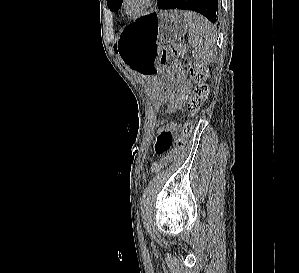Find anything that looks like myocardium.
<instances>
[{"instance_id": "f54148a6", "label": "myocardium", "mask_w": 299, "mask_h": 273, "mask_svg": "<svg viewBox=\"0 0 299 273\" xmlns=\"http://www.w3.org/2000/svg\"><path fill=\"white\" fill-rule=\"evenodd\" d=\"M128 2L129 0H122L121 9L126 15L135 17L143 14L149 8H151L155 0H141L140 5L134 10L128 9L127 7Z\"/></svg>"}]
</instances>
